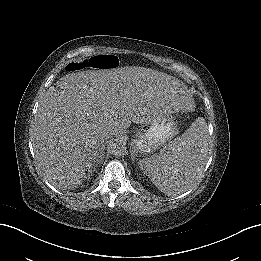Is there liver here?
I'll use <instances>...</instances> for the list:
<instances>
[{
  "label": "liver",
  "instance_id": "1",
  "mask_svg": "<svg viewBox=\"0 0 261 261\" xmlns=\"http://www.w3.org/2000/svg\"><path fill=\"white\" fill-rule=\"evenodd\" d=\"M131 95L115 78L98 72H81L59 88L51 87L39 101L34 129L39 165L61 177L90 174L100 158L104 134L123 130L114 111Z\"/></svg>",
  "mask_w": 261,
  "mask_h": 261
}]
</instances>
